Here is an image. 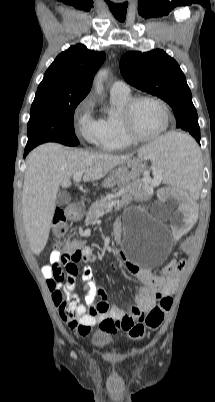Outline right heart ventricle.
<instances>
[{
    "label": "right heart ventricle",
    "mask_w": 215,
    "mask_h": 402,
    "mask_svg": "<svg viewBox=\"0 0 215 402\" xmlns=\"http://www.w3.org/2000/svg\"><path fill=\"white\" fill-rule=\"evenodd\" d=\"M129 99H131L130 93H111L114 112L101 119L103 124V137L100 146L104 150H121L132 144L125 136L120 123L121 110Z\"/></svg>",
    "instance_id": "e07e8e85"
}]
</instances>
